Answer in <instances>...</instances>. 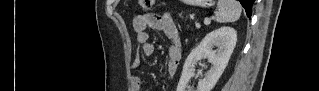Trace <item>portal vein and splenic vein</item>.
Returning a JSON list of instances; mask_svg holds the SVG:
<instances>
[{"label":"portal vein and splenic vein","mask_w":319,"mask_h":91,"mask_svg":"<svg viewBox=\"0 0 319 91\" xmlns=\"http://www.w3.org/2000/svg\"><path fill=\"white\" fill-rule=\"evenodd\" d=\"M204 23H205V24H209V23H210V20L205 19Z\"/></svg>","instance_id":"1"}]
</instances>
